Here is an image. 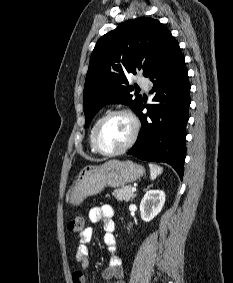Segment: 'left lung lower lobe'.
I'll return each mask as SVG.
<instances>
[{
  "mask_svg": "<svg viewBox=\"0 0 233 283\" xmlns=\"http://www.w3.org/2000/svg\"><path fill=\"white\" fill-rule=\"evenodd\" d=\"M148 78L153 83L150 93L154 94L155 103L145 106L142 102L139 106L136 113L142 131L128 154L147 161L168 163L182 179L190 84L178 43ZM144 108H147V114L142 113Z\"/></svg>",
  "mask_w": 233,
  "mask_h": 283,
  "instance_id": "0a47b994",
  "label": "left lung lower lobe"
}]
</instances>
